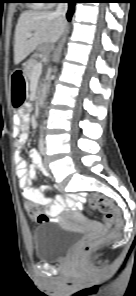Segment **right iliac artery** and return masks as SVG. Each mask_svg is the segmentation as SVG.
<instances>
[{
	"instance_id": "right-iliac-artery-1",
	"label": "right iliac artery",
	"mask_w": 136,
	"mask_h": 296,
	"mask_svg": "<svg viewBox=\"0 0 136 296\" xmlns=\"http://www.w3.org/2000/svg\"><path fill=\"white\" fill-rule=\"evenodd\" d=\"M39 150H40V152H41L42 155L45 154V147H44V144H40V145H39Z\"/></svg>"
}]
</instances>
